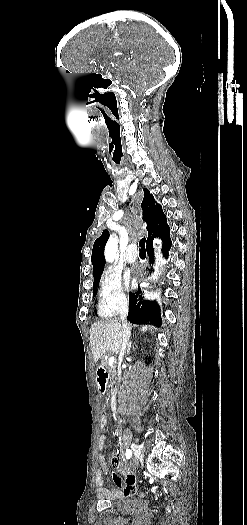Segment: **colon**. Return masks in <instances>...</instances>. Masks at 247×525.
Listing matches in <instances>:
<instances>
[{
	"instance_id": "obj_1",
	"label": "colon",
	"mask_w": 247,
	"mask_h": 525,
	"mask_svg": "<svg viewBox=\"0 0 247 525\" xmlns=\"http://www.w3.org/2000/svg\"><path fill=\"white\" fill-rule=\"evenodd\" d=\"M108 424H109V421H108V419L105 418V417H102V418H100V419L98 420V425H99L100 427H102V430H103L104 432H107V431L109 430Z\"/></svg>"
}]
</instances>
